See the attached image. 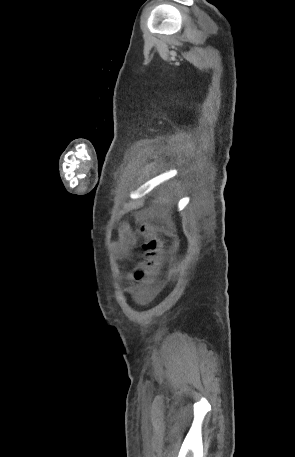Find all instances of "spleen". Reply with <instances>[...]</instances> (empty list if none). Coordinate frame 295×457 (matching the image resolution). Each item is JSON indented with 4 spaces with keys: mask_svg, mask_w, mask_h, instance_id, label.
Instances as JSON below:
<instances>
[{
    "mask_svg": "<svg viewBox=\"0 0 295 457\" xmlns=\"http://www.w3.org/2000/svg\"><path fill=\"white\" fill-rule=\"evenodd\" d=\"M159 202H160V203H168L169 200H168L167 198H160V199H159Z\"/></svg>",
    "mask_w": 295,
    "mask_h": 457,
    "instance_id": "1",
    "label": "spleen"
}]
</instances>
